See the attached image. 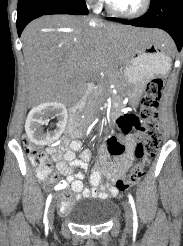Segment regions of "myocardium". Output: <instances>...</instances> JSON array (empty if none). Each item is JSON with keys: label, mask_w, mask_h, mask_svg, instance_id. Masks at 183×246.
I'll return each instance as SVG.
<instances>
[{"label": "myocardium", "mask_w": 183, "mask_h": 246, "mask_svg": "<svg viewBox=\"0 0 183 246\" xmlns=\"http://www.w3.org/2000/svg\"><path fill=\"white\" fill-rule=\"evenodd\" d=\"M150 3H151V0H143L141 6L137 10L133 12H122V11L115 9L111 5L109 0H105L106 8L112 15L120 17V18H126V19H132V18H136V17L143 15L148 10Z\"/></svg>", "instance_id": "myocardium-1"}]
</instances>
